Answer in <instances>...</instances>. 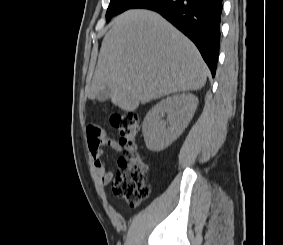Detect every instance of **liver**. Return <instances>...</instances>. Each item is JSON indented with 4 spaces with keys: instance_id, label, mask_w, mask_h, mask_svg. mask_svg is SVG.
<instances>
[{
    "instance_id": "obj_1",
    "label": "liver",
    "mask_w": 283,
    "mask_h": 245,
    "mask_svg": "<svg viewBox=\"0 0 283 245\" xmlns=\"http://www.w3.org/2000/svg\"><path fill=\"white\" fill-rule=\"evenodd\" d=\"M208 69L196 46L158 13L128 10L112 21L88 96L105 88L125 111L140 103L204 87Z\"/></svg>"
}]
</instances>
